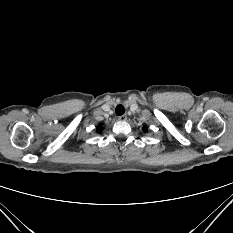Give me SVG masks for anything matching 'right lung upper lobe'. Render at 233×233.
<instances>
[{
    "label": "right lung upper lobe",
    "instance_id": "1",
    "mask_svg": "<svg viewBox=\"0 0 233 233\" xmlns=\"http://www.w3.org/2000/svg\"><path fill=\"white\" fill-rule=\"evenodd\" d=\"M101 131H102V125H99V126L97 127V132L100 133Z\"/></svg>",
    "mask_w": 233,
    "mask_h": 233
}]
</instances>
